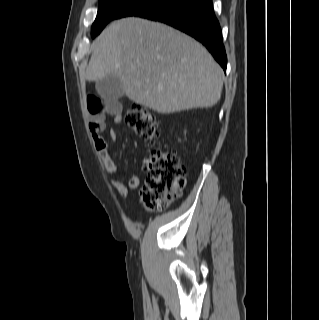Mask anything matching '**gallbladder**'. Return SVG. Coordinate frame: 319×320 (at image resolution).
I'll use <instances>...</instances> for the list:
<instances>
[{
    "label": "gallbladder",
    "mask_w": 319,
    "mask_h": 320,
    "mask_svg": "<svg viewBox=\"0 0 319 320\" xmlns=\"http://www.w3.org/2000/svg\"><path fill=\"white\" fill-rule=\"evenodd\" d=\"M95 87L98 94L107 101H115L124 96L122 83L120 79L113 74H109L96 82Z\"/></svg>",
    "instance_id": "bac80fb5"
}]
</instances>
